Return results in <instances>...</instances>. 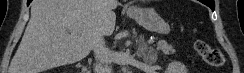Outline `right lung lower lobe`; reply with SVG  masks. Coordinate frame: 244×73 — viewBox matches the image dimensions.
<instances>
[{"instance_id":"1","label":"right lung lower lobe","mask_w":244,"mask_h":73,"mask_svg":"<svg viewBox=\"0 0 244 73\" xmlns=\"http://www.w3.org/2000/svg\"><path fill=\"white\" fill-rule=\"evenodd\" d=\"M31 1H32V0H28V1H27V5H29V4L31 3Z\"/></svg>"}]
</instances>
